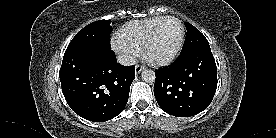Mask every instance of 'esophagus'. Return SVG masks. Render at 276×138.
I'll return each instance as SVG.
<instances>
[{
  "instance_id": "obj_1",
  "label": "esophagus",
  "mask_w": 276,
  "mask_h": 138,
  "mask_svg": "<svg viewBox=\"0 0 276 138\" xmlns=\"http://www.w3.org/2000/svg\"><path fill=\"white\" fill-rule=\"evenodd\" d=\"M143 66H141V65H136L135 66V73L136 74H139L142 70H143Z\"/></svg>"
}]
</instances>
